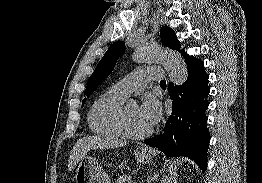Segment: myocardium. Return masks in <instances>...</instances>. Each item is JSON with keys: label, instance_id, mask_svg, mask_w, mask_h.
I'll use <instances>...</instances> for the list:
<instances>
[{"label": "myocardium", "instance_id": "obj_1", "mask_svg": "<svg viewBox=\"0 0 262 183\" xmlns=\"http://www.w3.org/2000/svg\"><path fill=\"white\" fill-rule=\"evenodd\" d=\"M117 125L118 128L121 132V134L126 137V138H130V139H144L148 136H150L153 132L152 129H149L145 132H140V133H136L133 132L127 123V118H126V106H122L119 110L118 116H117Z\"/></svg>", "mask_w": 262, "mask_h": 183}]
</instances>
